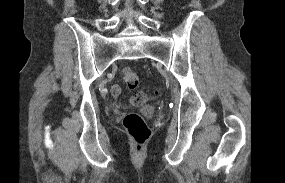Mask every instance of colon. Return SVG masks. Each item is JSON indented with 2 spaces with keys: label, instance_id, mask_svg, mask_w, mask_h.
<instances>
[{
  "label": "colon",
  "instance_id": "1",
  "mask_svg": "<svg viewBox=\"0 0 285 183\" xmlns=\"http://www.w3.org/2000/svg\"><path fill=\"white\" fill-rule=\"evenodd\" d=\"M123 80L129 89H134L138 86L139 78L137 72L126 67L123 69ZM145 95L142 92L136 93L131 98L133 105H138L143 102ZM123 125L130 137L135 142L138 149H141L150 137V129L147 126L143 117L138 113H127L123 118Z\"/></svg>",
  "mask_w": 285,
  "mask_h": 183
}]
</instances>
